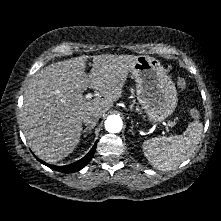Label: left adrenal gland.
<instances>
[{
  "instance_id": "left-adrenal-gland-1",
  "label": "left adrenal gland",
  "mask_w": 221,
  "mask_h": 221,
  "mask_svg": "<svg viewBox=\"0 0 221 221\" xmlns=\"http://www.w3.org/2000/svg\"><path fill=\"white\" fill-rule=\"evenodd\" d=\"M131 123H132V126H131V128H130V132H131V134L133 135L134 134V131H133V121H131Z\"/></svg>"
}]
</instances>
